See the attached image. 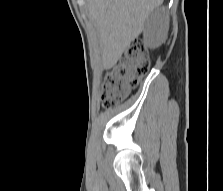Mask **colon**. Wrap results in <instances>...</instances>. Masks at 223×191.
I'll return each instance as SVG.
<instances>
[{
  "mask_svg": "<svg viewBox=\"0 0 223 191\" xmlns=\"http://www.w3.org/2000/svg\"><path fill=\"white\" fill-rule=\"evenodd\" d=\"M150 70V58L146 48L133 43L123 58L108 73L102 90V105L115 107L138 88L141 78Z\"/></svg>",
  "mask_w": 223,
  "mask_h": 191,
  "instance_id": "colon-1",
  "label": "colon"
}]
</instances>
